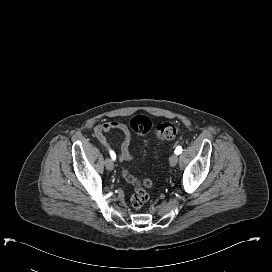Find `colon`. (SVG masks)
<instances>
[{
	"label": "colon",
	"instance_id": "colon-1",
	"mask_svg": "<svg viewBox=\"0 0 272 272\" xmlns=\"http://www.w3.org/2000/svg\"><path fill=\"white\" fill-rule=\"evenodd\" d=\"M130 127L135 133L144 135L151 130L152 121L147 116L137 115L131 119ZM178 131V124L172 121L160 122L155 126V135L159 140H171L178 134ZM123 176L126 180L137 185L131 196V204L135 209H142L149 200V195L144 188L152 186L153 179L148 177L137 178L128 170L123 171Z\"/></svg>",
	"mask_w": 272,
	"mask_h": 272
}]
</instances>
